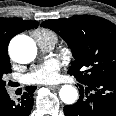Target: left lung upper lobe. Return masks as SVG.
Returning <instances> with one entry per match:
<instances>
[{
  "mask_svg": "<svg viewBox=\"0 0 116 116\" xmlns=\"http://www.w3.org/2000/svg\"><path fill=\"white\" fill-rule=\"evenodd\" d=\"M60 35L74 57L68 73L78 81L91 82L116 78V25L93 15L42 22Z\"/></svg>",
  "mask_w": 116,
  "mask_h": 116,
  "instance_id": "1",
  "label": "left lung upper lobe"
}]
</instances>
